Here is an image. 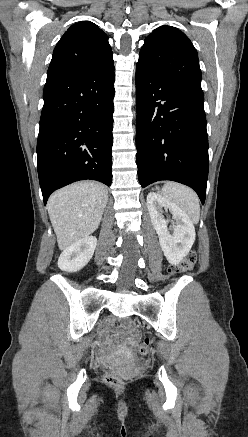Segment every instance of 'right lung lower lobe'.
<instances>
[{
  "label": "right lung lower lobe",
  "mask_w": 248,
  "mask_h": 437,
  "mask_svg": "<svg viewBox=\"0 0 248 437\" xmlns=\"http://www.w3.org/2000/svg\"><path fill=\"white\" fill-rule=\"evenodd\" d=\"M114 65L87 75L47 77L37 141L44 204L56 189L112 181Z\"/></svg>",
  "instance_id": "98d812e1"
}]
</instances>
